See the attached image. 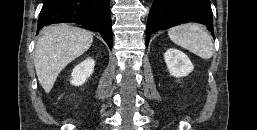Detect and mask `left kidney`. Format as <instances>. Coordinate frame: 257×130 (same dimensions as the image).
<instances>
[{
  "mask_svg": "<svg viewBox=\"0 0 257 130\" xmlns=\"http://www.w3.org/2000/svg\"><path fill=\"white\" fill-rule=\"evenodd\" d=\"M164 59L170 75L180 78L193 71V64L183 52L170 48L164 54Z\"/></svg>",
  "mask_w": 257,
  "mask_h": 130,
  "instance_id": "obj_1",
  "label": "left kidney"
}]
</instances>
